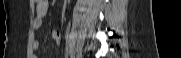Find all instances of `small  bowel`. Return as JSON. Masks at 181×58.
<instances>
[{
    "label": "small bowel",
    "mask_w": 181,
    "mask_h": 58,
    "mask_svg": "<svg viewBox=\"0 0 181 58\" xmlns=\"http://www.w3.org/2000/svg\"><path fill=\"white\" fill-rule=\"evenodd\" d=\"M47 10H48V1L38 0L36 6V17L33 20L34 31H38L42 27ZM52 37L56 42H59L60 34L57 31L53 32ZM32 47L34 51H38L40 49V43L37 40H35L33 42Z\"/></svg>",
    "instance_id": "c3829d8e"
}]
</instances>
